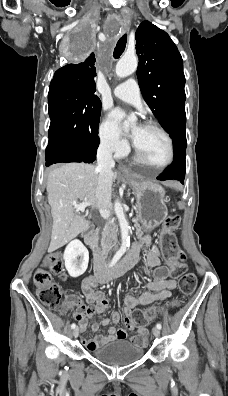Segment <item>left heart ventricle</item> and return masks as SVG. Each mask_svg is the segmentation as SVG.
I'll use <instances>...</instances> for the list:
<instances>
[{"mask_svg":"<svg viewBox=\"0 0 228 396\" xmlns=\"http://www.w3.org/2000/svg\"><path fill=\"white\" fill-rule=\"evenodd\" d=\"M133 141L143 156L154 165H160L169 157L167 139L157 130L143 125L132 129Z\"/></svg>","mask_w":228,"mask_h":396,"instance_id":"1","label":"left heart ventricle"}]
</instances>
